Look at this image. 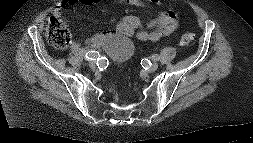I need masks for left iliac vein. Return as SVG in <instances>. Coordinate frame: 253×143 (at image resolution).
I'll return each mask as SVG.
<instances>
[{
    "label": "left iliac vein",
    "instance_id": "left-iliac-vein-1",
    "mask_svg": "<svg viewBox=\"0 0 253 143\" xmlns=\"http://www.w3.org/2000/svg\"><path fill=\"white\" fill-rule=\"evenodd\" d=\"M157 69H158V63L154 62V63H152V64L149 66L148 71H149V72H154V71H156Z\"/></svg>",
    "mask_w": 253,
    "mask_h": 143
}]
</instances>
